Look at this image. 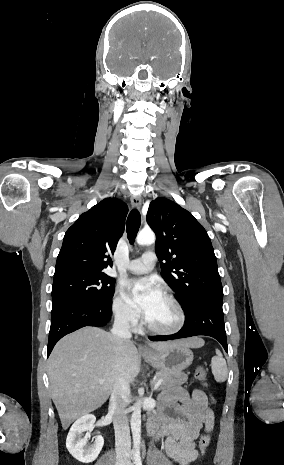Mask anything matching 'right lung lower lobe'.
Returning a JSON list of instances; mask_svg holds the SVG:
<instances>
[{
  "mask_svg": "<svg viewBox=\"0 0 284 465\" xmlns=\"http://www.w3.org/2000/svg\"><path fill=\"white\" fill-rule=\"evenodd\" d=\"M112 315L109 302L71 301L52 311L47 357L55 344L65 335L84 326H103Z\"/></svg>",
  "mask_w": 284,
  "mask_h": 465,
  "instance_id": "98d812e1",
  "label": "right lung lower lobe"
}]
</instances>
